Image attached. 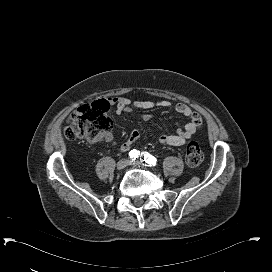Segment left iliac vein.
<instances>
[{
    "mask_svg": "<svg viewBox=\"0 0 272 272\" xmlns=\"http://www.w3.org/2000/svg\"><path fill=\"white\" fill-rule=\"evenodd\" d=\"M130 164L133 165V166H142L144 165V163H142V161H139V160H132L130 161ZM144 166H147L146 164Z\"/></svg>",
    "mask_w": 272,
    "mask_h": 272,
    "instance_id": "obj_1",
    "label": "left iliac vein"
}]
</instances>
